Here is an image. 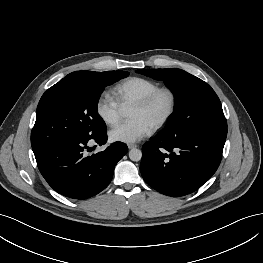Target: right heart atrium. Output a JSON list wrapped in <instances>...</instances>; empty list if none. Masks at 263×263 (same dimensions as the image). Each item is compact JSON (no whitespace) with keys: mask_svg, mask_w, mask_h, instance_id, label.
Listing matches in <instances>:
<instances>
[{"mask_svg":"<svg viewBox=\"0 0 263 263\" xmlns=\"http://www.w3.org/2000/svg\"><path fill=\"white\" fill-rule=\"evenodd\" d=\"M122 107L110 93H102L96 101V112L107 125L116 124L121 116Z\"/></svg>","mask_w":263,"mask_h":263,"instance_id":"right-heart-atrium-1","label":"right heart atrium"}]
</instances>
